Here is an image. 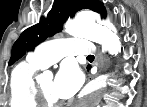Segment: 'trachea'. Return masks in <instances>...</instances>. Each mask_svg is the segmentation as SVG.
<instances>
[{
    "instance_id": "1",
    "label": "trachea",
    "mask_w": 147,
    "mask_h": 107,
    "mask_svg": "<svg viewBox=\"0 0 147 107\" xmlns=\"http://www.w3.org/2000/svg\"><path fill=\"white\" fill-rule=\"evenodd\" d=\"M87 58L88 59H94V55H88Z\"/></svg>"
}]
</instances>
